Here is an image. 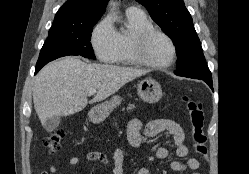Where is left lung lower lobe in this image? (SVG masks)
Returning <instances> with one entry per match:
<instances>
[{"mask_svg": "<svg viewBox=\"0 0 249 174\" xmlns=\"http://www.w3.org/2000/svg\"><path fill=\"white\" fill-rule=\"evenodd\" d=\"M195 79H201V80L205 81L209 85V87L212 88V84H213L212 79H210V78H195Z\"/></svg>", "mask_w": 249, "mask_h": 174, "instance_id": "0a47b994", "label": "left lung lower lobe"}]
</instances>
